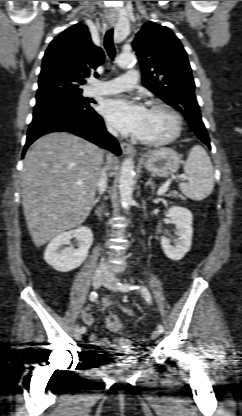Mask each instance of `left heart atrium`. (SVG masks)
<instances>
[{
  "instance_id": "obj_1",
  "label": "left heart atrium",
  "mask_w": 242,
  "mask_h": 416,
  "mask_svg": "<svg viewBox=\"0 0 242 416\" xmlns=\"http://www.w3.org/2000/svg\"><path fill=\"white\" fill-rule=\"evenodd\" d=\"M100 110L117 130L123 134L134 135L139 133L146 113L144 106L124 96L105 100Z\"/></svg>"
}]
</instances>
